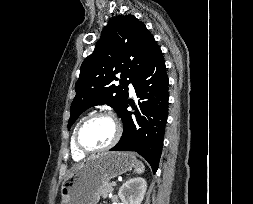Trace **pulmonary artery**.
<instances>
[{"instance_id":"1","label":"pulmonary artery","mask_w":253,"mask_h":204,"mask_svg":"<svg viewBox=\"0 0 253 204\" xmlns=\"http://www.w3.org/2000/svg\"><path fill=\"white\" fill-rule=\"evenodd\" d=\"M129 94L131 96L134 94V88H133V86L131 84L129 85Z\"/></svg>"}]
</instances>
